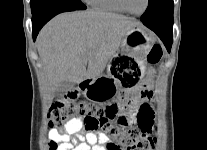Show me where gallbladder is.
<instances>
[{
    "label": "gallbladder",
    "mask_w": 207,
    "mask_h": 150,
    "mask_svg": "<svg viewBox=\"0 0 207 150\" xmlns=\"http://www.w3.org/2000/svg\"><path fill=\"white\" fill-rule=\"evenodd\" d=\"M73 88L71 82L64 81L59 84V86L56 89V95L62 96L66 91L71 90Z\"/></svg>",
    "instance_id": "bac80fb5"
}]
</instances>
